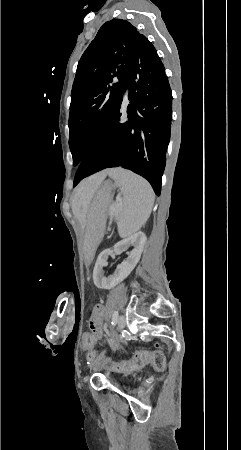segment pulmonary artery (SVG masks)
<instances>
[{"instance_id": "obj_1", "label": "pulmonary artery", "mask_w": 241, "mask_h": 450, "mask_svg": "<svg viewBox=\"0 0 241 450\" xmlns=\"http://www.w3.org/2000/svg\"><path fill=\"white\" fill-rule=\"evenodd\" d=\"M125 86L128 88L130 85L127 83ZM126 92L129 94L131 91L128 89Z\"/></svg>"}]
</instances>
